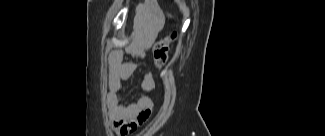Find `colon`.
Returning a JSON list of instances; mask_svg holds the SVG:
<instances>
[{"instance_id":"1","label":"colon","mask_w":325,"mask_h":136,"mask_svg":"<svg viewBox=\"0 0 325 136\" xmlns=\"http://www.w3.org/2000/svg\"><path fill=\"white\" fill-rule=\"evenodd\" d=\"M175 37H176V33H172L155 44L153 48V54H154V62L157 67L160 68L166 63L168 59L170 44L175 39Z\"/></svg>"}]
</instances>
